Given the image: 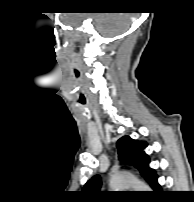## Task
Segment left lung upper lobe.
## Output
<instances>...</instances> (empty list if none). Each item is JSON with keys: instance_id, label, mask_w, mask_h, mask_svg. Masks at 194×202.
Masks as SVG:
<instances>
[{"instance_id": "1", "label": "left lung upper lobe", "mask_w": 194, "mask_h": 202, "mask_svg": "<svg viewBox=\"0 0 194 202\" xmlns=\"http://www.w3.org/2000/svg\"><path fill=\"white\" fill-rule=\"evenodd\" d=\"M146 146V143L133 140L130 137H122L117 142L119 159L136 167L144 179L151 183L156 177V173L148 166L150 159L143 151ZM100 187V176L96 175L85 184L83 191L88 194H96Z\"/></svg>"}]
</instances>
